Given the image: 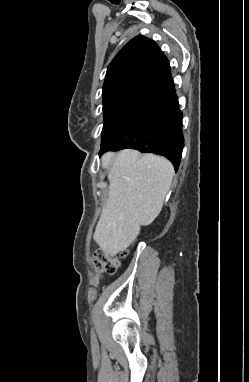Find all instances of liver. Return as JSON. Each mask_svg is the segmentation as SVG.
Here are the masks:
<instances>
[{"mask_svg":"<svg viewBox=\"0 0 249 382\" xmlns=\"http://www.w3.org/2000/svg\"><path fill=\"white\" fill-rule=\"evenodd\" d=\"M102 167L108 168L109 193L97 223L94 240L110 256L126 250L162 210L174 175L166 158L140 155L125 149L106 153Z\"/></svg>","mask_w":249,"mask_h":382,"instance_id":"6515ba94","label":"liver"}]
</instances>
